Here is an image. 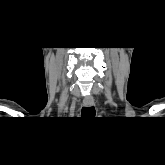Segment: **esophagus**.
Segmentation results:
<instances>
[{
    "instance_id": "34e87169",
    "label": "esophagus",
    "mask_w": 165,
    "mask_h": 165,
    "mask_svg": "<svg viewBox=\"0 0 165 165\" xmlns=\"http://www.w3.org/2000/svg\"><path fill=\"white\" fill-rule=\"evenodd\" d=\"M83 103H84L85 106L91 107V106L94 105V100L93 99H84Z\"/></svg>"
}]
</instances>
